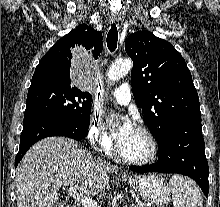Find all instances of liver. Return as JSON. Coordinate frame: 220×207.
Returning a JSON list of instances; mask_svg holds the SVG:
<instances>
[{"mask_svg":"<svg viewBox=\"0 0 220 207\" xmlns=\"http://www.w3.org/2000/svg\"><path fill=\"white\" fill-rule=\"evenodd\" d=\"M118 167L96 160L75 140L45 138L25 154L16 170L18 207H54L61 187L86 196L103 191Z\"/></svg>","mask_w":220,"mask_h":207,"instance_id":"liver-1","label":"liver"}]
</instances>
